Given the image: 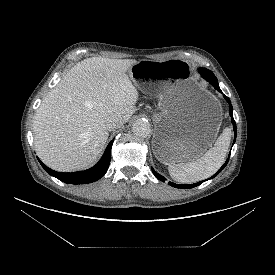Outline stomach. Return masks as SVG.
<instances>
[{
	"label": "stomach",
	"instance_id": "stomach-1",
	"mask_svg": "<svg viewBox=\"0 0 275 275\" xmlns=\"http://www.w3.org/2000/svg\"><path fill=\"white\" fill-rule=\"evenodd\" d=\"M129 76L140 89L152 87L159 99L152 148L160 162L194 161L212 146L221 125L222 108L212 94L194 82L187 61L141 60L130 67Z\"/></svg>",
	"mask_w": 275,
	"mask_h": 275
}]
</instances>
